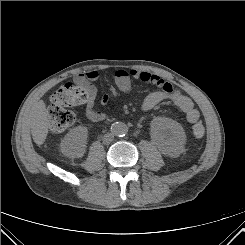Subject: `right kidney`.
<instances>
[{
	"label": "right kidney",
	"instance_id": "right-kidney-1",
	"mask_svg": "<svg viewBox=\"0 0 245 245\" xmlns=\"http://www.w3.org/2000/svg\"><path fill=\"white\" fill-rule=\"evenodd\" d=\"M88 129L77 126L71 129L61 142V152L68 157H81L86 148Z\"/></svg>",
	"mask_w": 245,
	"mask_h": 245
}]
</instances>
